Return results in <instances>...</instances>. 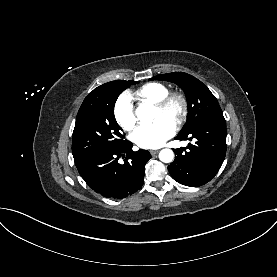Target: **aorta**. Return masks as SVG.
I'll use <instances>...</instances> for the list:
<instances>
[{
    "mask_svg": "<svg viewBox=\"0 0 277 277\" xmlns=\"http://www.w3.org/2000/svg\"><path fill=\"white\" fill-rule=\"evenodd\" d=\"M136 116L142 122L151 123L154 117L153 107L147 104L139 105L136 109ZM159 159L164 163H170L174 159V153L171 149H162Z\"/></svg>",
    "mask_w": 277,
    "mask_h": 277,
    "instance_id": "1",
    "label": "aorta"
}]
</instances>
